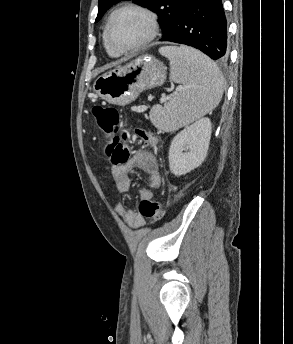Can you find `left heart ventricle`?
Listing matches in <instances>:
<instances>
[{"label": "left heart ventricle", "mask_w": 293, "mask_h": 344, "mask_svg": "<svg viewBox=\"0 0 293 344\" xmlns=\"http://www.w3.org/2000/svg\"><path fill=\"white\" fill-rule=\"evenodd\" d=\"M146 32L147 23L141 14L134 11H124L114 18L109 36L113 46L126 48L141 41Z\"/></svg>", "instance_id": "b2bd125f"}]
</instances>
